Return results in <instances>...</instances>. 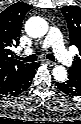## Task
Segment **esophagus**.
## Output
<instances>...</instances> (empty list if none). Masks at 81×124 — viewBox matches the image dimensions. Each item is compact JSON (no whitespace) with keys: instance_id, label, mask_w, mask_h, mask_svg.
<instances>
[{"instance_id":"obj_1","label":"esophagus","mask_w":81,"mask_h":124,"mask_svg":"<svg viewBox=\"0 0 81 124\" xmlns=\"http://www.w3.org/2000/svg\"><path fill=\"white\" fill-rule=\"evenodd\" d=\"M46 63H47L48 65H50V66H55V65H56L55 62L50 61V60H46Z\"/></svg>"}]
</instances>
